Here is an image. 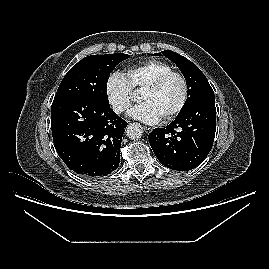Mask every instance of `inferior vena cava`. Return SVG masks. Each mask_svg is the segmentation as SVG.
<instances>
[{"label":"inferior vena cava","instance_id":"602c4592","mask_svg":"<svg viewBox=\"0 0 269 269\" xmlns=\"http://www.w3.org/2000/svg\"><path fill=\"white\" fill-rule=\"evenodd\" d=\"M124 109H125V106L124 105H115L114 106V111L116 113H121L122 111H124Z\"/></svg>","mask_w":269,"mask_h":269}]
</instances>
